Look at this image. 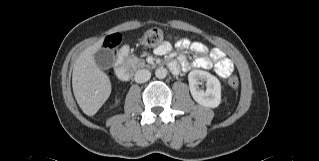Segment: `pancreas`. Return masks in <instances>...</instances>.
Returning <instances> with one entry per match:
<instances>
[{"label":"pancreas","instance_id":"1","mask_svg":"<svg viewBox=\"0 0 319 161\" xmlns=\"http://www.w3.org/2000/svg\"><path fill=\"white\" fill-rule=\"evenodd\" d=\"M128 63L132 66L134 69L138 68H144L147 67L148 65L145 64V60L140 59L136 56H131L128 58Z\"/></svg>","mask_w":319,"mask_h":161}]
</instances>
